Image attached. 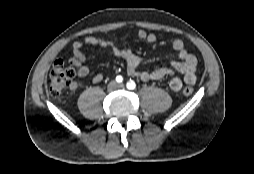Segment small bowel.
Returning <instances> with one entry per match:
<instances>
[{
  "label": "small bowel",
  "instance_id": "1",
  "mask_svg": "<svg viewBox=\"0 0 254 174\" xmlns=\"http://www.w3.org/2000/svg\"><path fill=\"white\" fill-rule=\"evenodd\" d=\"M139 40L146 41L150 44L156 43L157 37L154 34L148 33L145 30H139L136 33ZM84 46H94L109 49L115 56L123 59L126 62L127 73L131 76H137L143 82H156L169 77V86L173 91H180L183 84L193 85L197 81L196 70L197 60L195 56L189 53L185 44L180 39H175L172 42V48L176 51V56L171 60L172 68H158L153 71H138V66L142 63V58L128 47H121L110 39L99 38L95 36H87L83 40L75 41L72 46V65L76 74L80 78H85L89 75L90 70L87 66V58L82 52ZM179 72L183 75V80L175 75ZM103 80V75L94 76L93 83H100ZM83 86L81 81H73L70 84V89L75 91Z\"/></svg>",
  "mask_w": 254,
  "mask_h": 174
}]
</instances>
